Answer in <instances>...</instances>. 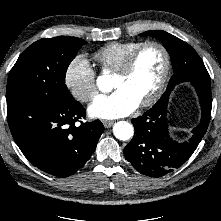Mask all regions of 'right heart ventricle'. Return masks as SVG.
I'll return each instance as SVG.
<instances>
[{
	"instance_id": "obj_1",
	"label": "right heart ventricle",
	"mask_w": 221,
	"mask_h": 221,
	"mask_svg": "<svg viewBox=\"0 0 221 221\" xmlns=\"http://www.w3.org/2000/svg\"><path fill=\"white\" fill-rule=\"evenodd\" d=\"M142 44L140 41L112 42L101 47L95 58L104 70L116 72L130 53Z\"/></svg>"
}]
</instances>
